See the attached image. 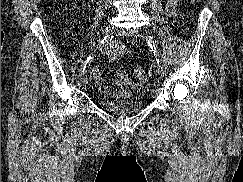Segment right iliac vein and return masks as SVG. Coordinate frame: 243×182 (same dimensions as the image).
Listing matches in <instances>:
<instances>
[{
    "label": "right iliac vein",
    "mask_w": 243,
    "mask_h": 182,
    "mask_svg": "<svg viewBox=\"0 0 243 182\" xmlns=\"http://www.w3.org/2000/svg\"><path fill=\"white\" fill-rule=\"evenodd\" d=\"M114 26L111 25V24H107L105 26V34L107 35H112L114 33ZM88 82V78H87V74L86 73H82L81 76H80V83L82 85H86Z\"/></svg>",
    "instance_id": "1"
}]
</instances>
